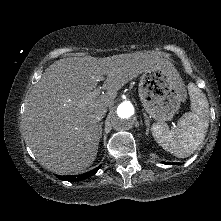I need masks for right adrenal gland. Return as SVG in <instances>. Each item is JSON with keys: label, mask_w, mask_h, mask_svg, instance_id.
<instances>
[{"label": "right adrenal gland", "mask_w": 221, "mask_h": 221, "mask_svg": "<svg viewBox=\"0 0 221 221\" xmlns=\"http://www.w3.org/2000/svg\"><path fill=\"white\" fill-rule=\"evenodd\" d=\"M102 125H103V123L101 122L99 124V136H100V138L102 137Z\"/></svg>", "instance_id": "2a0ac1e0"}]
</instances>
